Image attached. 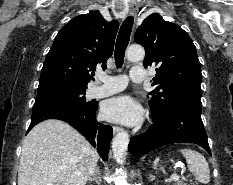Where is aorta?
Segmentation results:
<instances>
[{
    "label": "aorta",
    "instance_id": "1",
    "mask_svg": "<svg viewBox=\"0 0 233 185\" xmlns=\"http://www.w3.org/2000/svg\"><path fill=\"white\" fill-rule=\"evenodd\" d=\"M127 59L131 62L141 61L145 56L142 46L132 45L127 49ZM129 144V135L126 131L119 132L112 141V151L114 159L119 164H123L126 159L127 148Z\"/></svg>",
    "mask_w": 233,
    "mask_h": 185
}]
</instances>
